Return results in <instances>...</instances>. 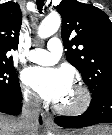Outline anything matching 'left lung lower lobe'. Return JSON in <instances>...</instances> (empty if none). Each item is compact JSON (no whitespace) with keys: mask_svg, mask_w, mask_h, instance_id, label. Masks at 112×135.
Returning <instances> with one entry per match:
<instances>
[{"mask_svg":"<svg viewBox=\"0 0 112 135\" xmlns=\"http://www.w3.org/2000/svg\"><path fill=\"white\" fill-rule=\"evenodd\" d=\"M55 122L64 128H82L99 123H112V90L93 96L88 110L79 116H58Z\"/></svg>","mask_w":112,"mask_h":135,"instance_id":"left-lung-lower-lobe-1","label":"left lung lower lobe"}]
</instances>
